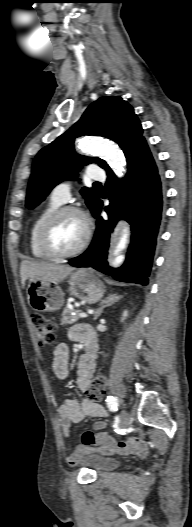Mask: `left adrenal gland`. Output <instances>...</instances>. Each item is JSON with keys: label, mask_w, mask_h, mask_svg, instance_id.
I'll return each instance as SVG.
<instances>
[{"label": "left adrenal gland", "mask_w": 192, "mask_h": 527, "mask_svg": "<svg viewBox=\"0 0 192 527\" xmlns=\"http://www.w3.org/2000/svg\"><path fill=\"white\" fill-rule=\"evenodd\" d=\"M122 298V296H119L117 294H111L105 299H103L100 303L101 307L95 312L94 320L98 319V317L102 314L104 308L111 306L115 302L119 301Z\"/></svg>", "instance_id": "obj_1"}]
</instances>
